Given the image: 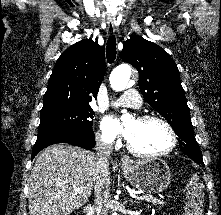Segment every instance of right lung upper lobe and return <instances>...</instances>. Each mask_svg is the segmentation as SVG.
<instances>
[{"mask_svg": "<svg viewBox=\"0 0 221 215\" xmlns=\"http://www.w3.org/2000/svg\"><path fill=\"white\" fill-rule=\"evenodd\" d=\"M106 73L105 48L92 39L79 41L57 60L44 94L41 115L90 107Z\"/></svg>", "mask_w": 221, "mask_h": 215, "instance_id": "obj_1", "label": "right lung upper lobe"}]
</instances>
